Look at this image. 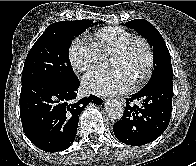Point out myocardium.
Wrapping results in <instances>:
<instances>
[{
    "label": "myocardium",
    "instance_id": "obj_1",
    "mask_svg": "<svg viewBox=\"0 0 196 166\" xmlns=\"http://www.w3.org/2000/svg\"><path fill=\"white\" fill-rule=\"evenodd\" d=\"M137 44H141L146 52H147V64L143 72L136 78V85L142 84L145 80H147L152 72L154 67V51L150 43L143 37H133L128 40L120 49L114 52L115 55L120 57H127L133 50L134 46Z\"/></svg>",
    "mask_w": 196,
    "mask_h": 166
}]
</instances>
